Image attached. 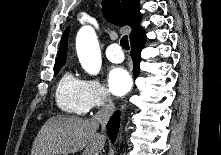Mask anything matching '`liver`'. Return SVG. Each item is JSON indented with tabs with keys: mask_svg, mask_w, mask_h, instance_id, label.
<instances>
[{
	"mask_svg": "<svg viewBox=\"0 0 221 155\" xmlns=\"http://www.w3.org/2000/svg\"><path fill=\"white\" fill-rule=\"evenodd\" d=\"M99 123L93 119L56 115L42 126L33 143L31 155H100L106 141L97 133Z\"/></svg>",
	"mask_w": 221,
	"mask_h": 155,
	"instance_id": "6515ba94",
	"label": "liver"
}]
</instances>
